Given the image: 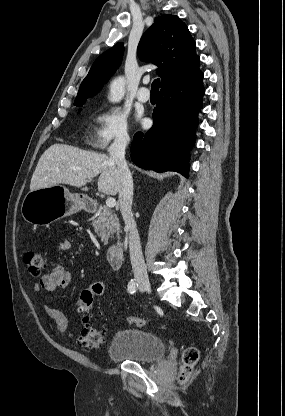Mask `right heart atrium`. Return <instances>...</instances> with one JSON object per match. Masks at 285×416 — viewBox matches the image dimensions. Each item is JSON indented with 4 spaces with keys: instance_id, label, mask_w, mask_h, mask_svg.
<instances>
[{
    "instance_id": "right-heart-atrium-1",
    "label": "right heart atrium",
    "mask_w": 285,
    "mask_h": 416,
    "mask_svg": "<svg viewBox=\"0 0 285 416\" xmlns=\"http://www.w3.org/2000/svg\"><path fill=\"white\" fill-rule=\"evenodd\" d=\"M127 138V119L119 109L104 107L93 115L87 137L92 148L103 151L111 144L125 142Z\"/></svg>"
}]
</instances>
